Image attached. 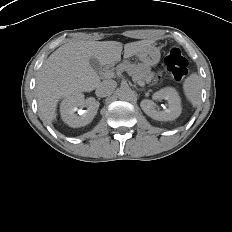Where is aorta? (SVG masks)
<instances>
[{
    "instance_id": "1",
    "label": "aorta",
    "mask_w": 232,
    "mask_h": 232,
    "mask_svg": "<svg viewBox=\"0 0 232 232\" xmlns=\"http://www.w3.org/2000/svg\"><path fill=\"white\" fill-rule=\"evenodd\" d=\"M134 93L128 86H123L118 90V96L121 100L129 101L132 99Z\"/></svg>"
}]
</instances>
